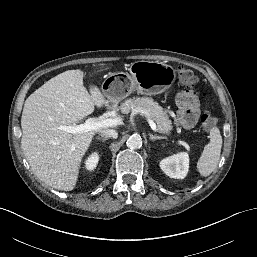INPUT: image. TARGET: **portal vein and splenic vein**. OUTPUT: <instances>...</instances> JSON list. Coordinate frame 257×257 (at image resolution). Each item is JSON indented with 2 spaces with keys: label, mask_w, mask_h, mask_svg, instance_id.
Instances as JSON below:
<instances>
[{
  "label": "portal vein and splenic vein",
  "mask_w": 257,
  "mask_h": 257,
  "mask_svg": "<svg viewBox=\"0 0 257 257\" xmlns=\"http://www.w3.org/2000/svg\"><path fill=\"white\" fill-rule=\"evenodd\" d=\"M147 116V121L153 131H157V126L155 122ZM121 118L120 117H115V118H107V119H101V120H95L94 118H88L85 123L76 125V126H64L60 125L58 126L59 130L71 133V134H77L81 132H87L91 130H98L102 127H112V126H117L121 124Z\"/></svg>",
  "instance_id": "18ae733b"
}]
</instances>
